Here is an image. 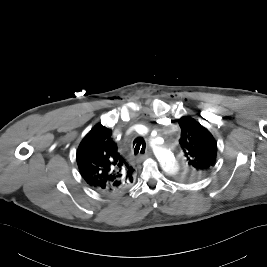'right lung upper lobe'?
Returning a JSON list of instances; mask_svg holds the SVG:
<instances>
[{"label":"right lung upper lobe","mask_w":267,"mask_h":267,"mask_svg":"<svg viewBox=\"0 0 267 267\" xmlns=\"http://www.w3.org/2000/svg\"><path fill=\"white\" fill-rule=\"evenodd\" d=\"M111 130L97 124L77 150L79 171L93 189L103 193L126 191L134 180V169L117 152Z\"/></svg>","instance_id":"obj_1"}]
</instances>
